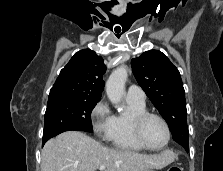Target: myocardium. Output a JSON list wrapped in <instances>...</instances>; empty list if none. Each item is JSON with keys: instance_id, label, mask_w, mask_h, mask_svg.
Segmentation results:
<instances>
[{"instance_id": "f54148a6", "label": "myocardium", "mask_w": 223, "mask_h": 171, "mask_svg": "<svg viewBox=\"0 0 223 171\" xmlns=\"http://www.w3.org/2000/svg\"><path fill=\"white\" fill-rule=\"evenodd\" d=\"M150 117H154V118L159 119L163 123V125L165 126V128H166V131H167V139H166L165 143L162 146H160V147H152V146L148 145L146 143V141L144 140V138H143V135H142V127H143L144 122L148 118H150ZM131 127H132V132H133V135H134V138L136 139V141L143 148H145L147 150H151V151H159V150H162V149H164L169 144V142L171 140V128H170L167 120L162 115H160L158 113L145 111L143 113L134 115L132 117V119H131Z\"/></svg>"}]
</instances>
